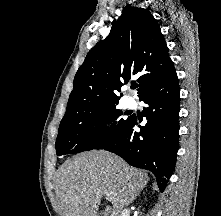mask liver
Returning a JSON list of instances; mask_svg holds the SVG:
<instances>
[{
    "label": "liver",
    "mask_w": 221,
    "mask_h": 216,
    "mask_svg": "<svg viewBox=\"0 0 221 216\" xmlns=\"http://www.w3.org/2000/svg\"><path fill=\"white\" fill-rule=\"evenodd\" d=\"M149 181L146 173L130 167L107 151H89L66 161L57 173V195L62 216H97L103 195L113 207L103 215L118 216Z\"/></svg>",
    "instance_id": "liver-1"
}]
</instances>
